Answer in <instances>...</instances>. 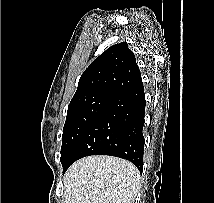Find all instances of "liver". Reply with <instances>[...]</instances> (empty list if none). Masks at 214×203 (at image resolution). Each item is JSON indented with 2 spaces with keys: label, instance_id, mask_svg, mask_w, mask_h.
I'll return each instance as SVG.
<instances>
[{
  "label": "liver",
  "instance_id": "obj_1",
  "mask_svg": "<svg viewBox=\"0 0 214 203\" xmlns=\"http://www.w3.org/2000/svg\"><path fill=\"white\" fill-rule=\"evenodd\" d=\"M140 185L137 168L112 156H89L64 176V203H134Z\"/></svg>",
  "mask_w": 214,
  "mask_h": 203
}]
</instances>
